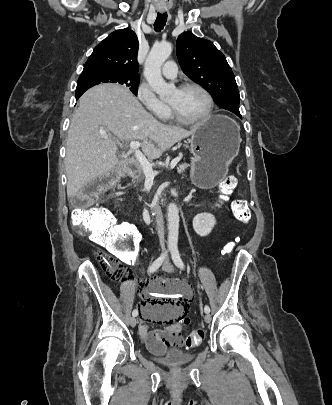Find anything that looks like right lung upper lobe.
<instances>
[{
    "mask_svg": "<svg viewBox=\"0 0 332 405\" xmlns=\"http://www.w3.org/2000/svg\"><path fill=\"white\" fill-rule=\"evenodd\" d=\"M137 53L138 39L135 32L128 28L116 30L94 48L83 72L110 70L139 77Z\"/></svg>",
    "mask_w": 332,
    "mask_h": 405,
    "instance_id": "1",
    "label": "right lung upper lobe"
}]
</instances>
